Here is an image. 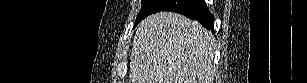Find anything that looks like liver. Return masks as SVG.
Here are the masks:
<instances>
[{"label":"liver","mask_w":307,"mask_h":83,"mask_svg":"<svg viewBox=\"0 0 307 83\" xmlns=\"http://www.w3.org/2000/svg\"><path fill=\"white\" fill-rule=\"evenodd\" d=\"M215 39L201 24L174 12L142 20L130 56L132 83H213Z\"/></svg>","instance_id":"liver-1"}]
</instances>
